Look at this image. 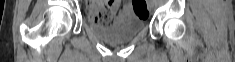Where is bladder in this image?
<instances>
[{"label": "bladder", "mask_w": 235, "mask_h": 62, "mask_svg": "<svg viewBox=\"0 0 235 62\" xmlns=\"http://www.w3.org/2000/svg\"><path fill=\"white\" fill-rule=\"evenodd\" d=\"M123 13L113 19L110 25L89 22V28L92 33L100 40L111 44L125 43L137 35L144 29V20L140 16Z\"/></svg>", "instance_id": "bladder-1"}]
</instances>
